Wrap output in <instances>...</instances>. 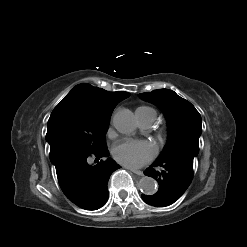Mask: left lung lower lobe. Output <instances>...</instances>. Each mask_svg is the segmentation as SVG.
<instances>
[{
    "mask_svg": "<svg viewBox=\"0 0 247 247\" xmlns=\"http://www.w3.org/2000/svg\"><path fill=\"white\" fill-rule=\"evenodd\" d=\"M193 159L184 153L158 158L144 174L156 179L159 190L154 195L142 194V199L155 207L168 206L178 200L192 181Z\"/></svg>",
    "mask_w": 247,
    "mask_h": 247,
    "instance_id": "obj_1",
    "label": "left lung lower lobe"
}]
</instances>
